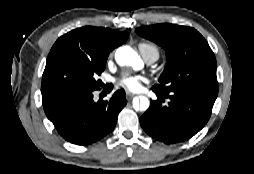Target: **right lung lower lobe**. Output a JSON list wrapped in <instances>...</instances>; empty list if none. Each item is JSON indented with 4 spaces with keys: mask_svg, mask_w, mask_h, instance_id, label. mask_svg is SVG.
Masks as SVG:
<instances>
[{
    "mask_svg": "<svg viewBox=\"0 0 254 174\" xmlns=\"http://www.w3.org/2000/svg\"><path fill=\"white\" fill-rule=\"evenodd\" d=\"M93 91H71L42 98L48 119L66 141L88 145L115 128L118 114L127 103L125 91L118 90L109 101L98 102L93 100Z\"/></svg>",
    "mask_w": 254,
    "mask_h": 174,
    "instance_id": "obj_1",
    "label": "right lung lower lobe"
}]
</instances>
